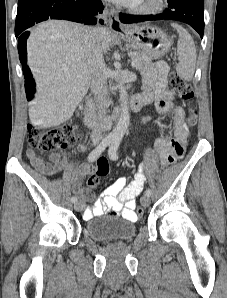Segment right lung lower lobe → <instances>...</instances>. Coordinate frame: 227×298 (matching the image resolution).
<instances>
[{
    "label": "right lung lower lobe",
    "mask_w": 227,
    "mask_h": 298,
    "mask_svg": "<svg viewBox=\"0 0 227 298\" xmlns=\"http://www.w3.org/2000/svg\"><path fill=\"white\" fill-rule=\"evenodd\" d=\"M101 0H19L15 22L18 37V52L22 64L26 63L27 28L48 19H65L84 24H96L94 15L102 12ZM103 24V20L99 21ZM25 79L30 77L27 66H23Z\"/></svg>",
    "instance_id": "1"
}]
</instances>
